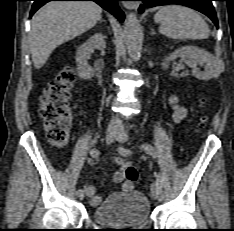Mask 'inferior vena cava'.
I'll return each instance as SVG.
<instances>
[{"label": "inferior vena cava", "mask_w": 234, "mask_h": 231, "mask_svg": "<svg viewBox=\"0 0 234 231\" xmlns=\"http://www.w3.org/2000/svg\"><path fill=\"white\" fill-rule=\"evenodd\" d=\"M121 124H122V121L120 120L119 117H113L110 123V125L114 127L121 126Z\"/></svg>", "instance_id": "obj_1"}]
</instances>
